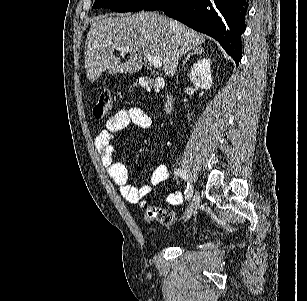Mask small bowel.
Masks as SVG:
<instances>
[{
    "label": "small bowel",
    "mask_w": 307,
    "mask_h": 301,
    "mask_svg": "<svg viewBox=\"0 0 307 301\" xmlns=\"http://www.w3.org/2000/svg\"><path fill=\"white\" fill-rule=\"evenodd\" d=\"M131 125L146 129L150 127L151 119L141 108L136 106L120 109L106 121L105 128L96 136L95 147L100 154L103 165L107 168L109 176L119 187L122 197L129 203H139L140 207H144V199L150 194L152 186L164 182L169 173L165 165H158L148 184L135 187L128 183L126 167L113 158V140L117 133ZM166 202L171 206H178L182 204L183 196L179 191H173L168 195Z\"/></svg>",
    "instance_id": "1"
}]
</instances>
